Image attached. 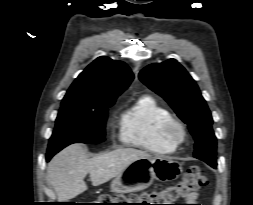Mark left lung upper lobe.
<instances>
[{"label": "left lung upper lobe", "instance_id": "1", "mask_svg": "<svg viewBox=\"0 0 253 205\" xmlns=\"http://www.w3.org/2000/svg\"><path fill=\"white\" fill-rule=\"evenodd\" d=\"M140 80L162 96L185 122L195 140L194 157L212 167L216 162L213 119L198 86L175 59L151 64L139 73Z\"/></svg>", "mask_w": 253, "mask_h": 205}]
</instances>
